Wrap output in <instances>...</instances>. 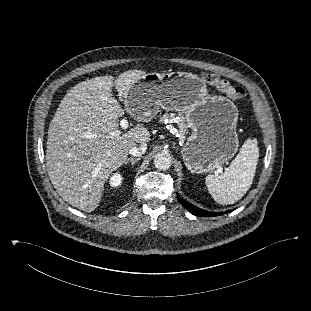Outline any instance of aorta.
I'll return each mask as SVG.
<instances>
[{"label":"aorta","mask_w":311,"mask_h":311,"mask_svg":"<svg viewBox=\"0 0 311 311\" xmlns=\"http://www.w3.org/2000/svg\"><path fill=\"white\" fill-rule=\"evenodd\" d=\"M171 164V156L167 153H159L154 158V165L159 170H167Z\"/></svg>","instance_id":"aorta-1"}]
</instances>
